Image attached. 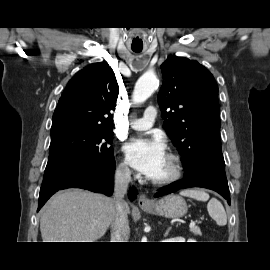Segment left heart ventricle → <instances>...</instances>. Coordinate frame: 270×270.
Segmentation results:
<instances>
[{
  "mask_svg": "<svg viewBox=\"0 0 270 270\" xmlns=\"http://www.w3.org/2000/svg\"><path fill=\"white\" fill-rule=\"evenodd\" d=\"M171 171V161L169 160V158L166 156L164 163L161 167V169L159 170V172L156 174V176L153 179H161L166 177L167 175H169Z\"/></svg>",
  "mask_w": 270,
  "mask_h": 270,
  "instance_id": "1",
  "label": "left heart ventricle"
}]
</instances>
